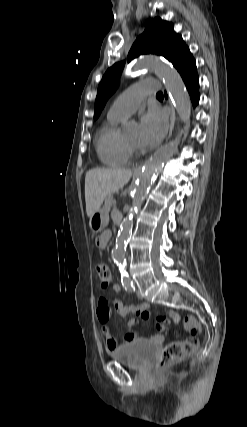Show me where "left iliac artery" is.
Instances as JSON below:
<instances>
[{
	"label": "left iliac artery",
	"mask_w": 247,
	"mask_h": 427,
	"mask_svg": "<svg viewBox=\"0 0 247 427\" xmlns=\"http://www.w3.org/2000/svg\"><path fill=\"white\" fill-rule=\"evenodd\" d=\"M121 282L125 290L130 292L135 290L133 281L130 279L128 273L124 272L121 274Z\"/></svg>",
	"instance_id": "left-iliac-artery-1"
}]
</instances>
